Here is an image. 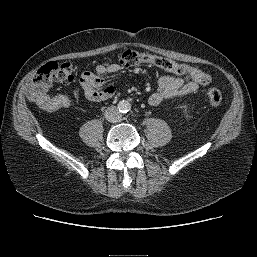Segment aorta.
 <instances>
[{"label":"aorta","instance_id":"1","mask_svg":"<svg viewBox=\"0 0 257 257\" xmlns=\"http://www.w3.org/2000/svg\"><path fill=\"white\" fill-rule=\"evenodd\" d=\"M130 108H131V104L126 100H122L118 103V109L122 113L128 112Z\"/></svg>","mask_w":257,"mask_h":257}]
</instances>
